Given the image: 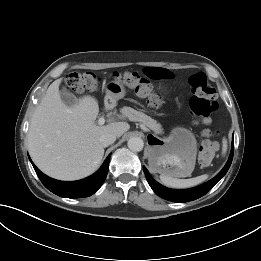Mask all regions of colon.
I'll list each match as a JSON object with an SVG mask.
<instances>
[{
  "mask_svg": "<svg viewBox=\"0 0 261 261\" xmlns=\"http://www.w3.org/2000/svg\"><path fill=\"white\" fill-rule=\"evenodd\" d=\"M116 79L127 87L136 90L141 95L147 97L151 106H158L160 98L151 92L147 80L138 74L125 72L116 75ZM98 78L93 73H72L66 80V89L71 93H81L90 91L97 87ZM191 89L190 108L197 122L208 125L211 116L217 109L216 90L208 81L203 72L193 74L189 78ZM204 141L199 149L198 159L200 163L207 164L215 156L218 149L217 143L213 140L214 132L206 128L203 131Z\"/></svg>",
  "mask_w": 261,
  "mask_h": 261,
  "instance_id": "colon-1",
  "label": "colon"
}]
</instances>
